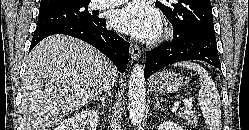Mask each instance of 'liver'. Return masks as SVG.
<instances>
[{"label":"liver","mask_w":249,"mask_h":130,"mask_svg":"<svg viewBox=\"0 0 249 130\" xmlns=\"http://www.w3.org/2000/svg\"><path fill=\"white\" fill-rule=\"evenodd\" d=\"M116 77L115 66L91 45L61 34L45 38L27 60L21 88L22 130H49L96 100Z\"/></svg>","instance_id":"1"}]
</instances>
